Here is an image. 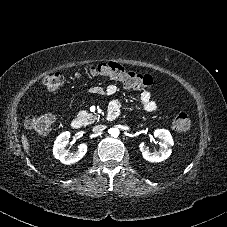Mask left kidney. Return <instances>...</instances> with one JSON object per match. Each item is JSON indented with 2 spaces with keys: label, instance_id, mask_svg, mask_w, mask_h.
<instances>
[{
  "label": "left kidney",
  "instance_id": "5707ae66",
  "mask_svg": "<svg viewBox=\"0 0 227 227\" xmlns=\"http://www.w3.org/2000/svg\"><path fill=\"white\" fill-rule=\"evenodd\" d=\"M154 136L161 140V149L156 152H150L144 142H141L139 149L142 152L144 159L150 162H161L171 155L170 147L173 146V138L171 133L166 129H157L154 131Z\"/></svg>",
  "mask_w": 227,
  "mask_h": 227
}]
</instances>
